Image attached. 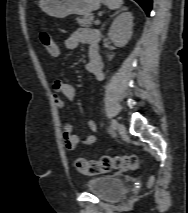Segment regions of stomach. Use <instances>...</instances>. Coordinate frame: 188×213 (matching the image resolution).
I'll return each mask as SVG.
<instances>
[{
  "mask_svg": "<svg viewBox=\"0 0 188 213\" xmlns=\"http://www.w3.org/2000/svg\"><path fill=\"white\" fill-rule=\"evenodd\" d=\"M101 0H39V8L46 14L64 18L71 14L88 15L100 7Z\"/></svg>",
  "mask_w": 188,
  "mask_h": 213,
  "instance_id": "obj_1",
  "label": "stomach"
}]
</instances>
